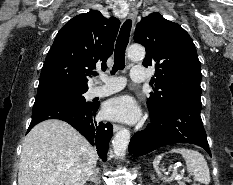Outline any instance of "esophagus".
Masks as SVG:
<instances>
[{
	"label": "esophagus",
	"mask_w": 233,
	"mask_h": 185,
	"mask_svg": "<svg viewBox=\"0 0 233 185\" xmlns=\"http://www.w3.org/2000/svg\"><path fill=\"white\" fill-rule=\"evenodd\" d=\"M137 16V8L134 4H131L130 5V9H129V13H128V18L131 19V20H134ZM122 129V126L118 125V124H115L113 126V130L114 132H117L119 130Z\"/></svg>",
	"instance_id": "obj_1"
}]
</instances>
